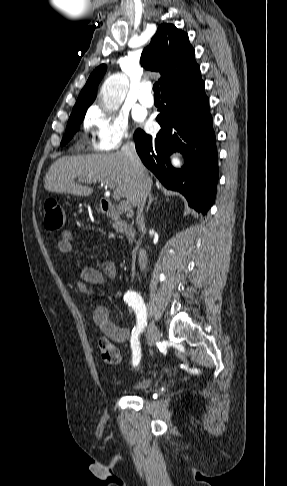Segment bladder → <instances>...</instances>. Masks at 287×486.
Listing matches in <instances>:
<instances>
[{"label":"bladder","mask_w":287,"mask_h":486,"mask_svg":"<svg viewBox=\"0 0 287 486\" xmlns=\"http://www.w3.org/2000/svg\"><path fill=\"white\" fill-rule=\"evenodd\" d=\"M152 385V379L151 378H142L139 379L138 381L132 383L129 386V389L132 391H143L148 389Z\"/></svg>","instance_id":"31cf9c89"}]
</instances>
